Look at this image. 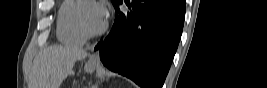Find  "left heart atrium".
<instances>
[{
    "instance_id": "39dd6f15",
    "label": "left heart atrium",
    "mask_w": 267,
    "mask_h": 88,
    "mask_svg": "<svg viewBox=\"0 0 267 88\" xmlns=\"http://www.w3.org/2000/svg\"><path fill=\"white\" fill-rule=\"evenodd\" d=\"M96 15L99 20L104 21L106 18V11L102 5H96Z\"/></svg>"
}]
</instances>
